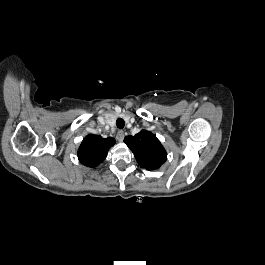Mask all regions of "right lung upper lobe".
<instances>
[{
	"label": "right lung upper lobe",
	"mask_w": 265,
	"mask_h": 265,
	"mask_svg": "<svg viewBox=\"0 0 265 265\" xmlns=\"http://www.w3.org/2000/svg\"><path fill=\"white\" fill-rule=\"evenodd\" d=\"M114 144V138H102L93 134L88 135L83 139L78 149V159L87 167H96L104 161L109 148Z\"/></svg>",
	"instance_id": "obj_1"
}]
</instances>
